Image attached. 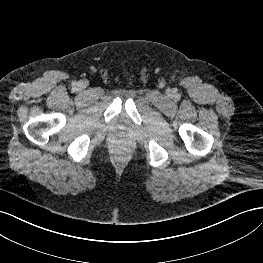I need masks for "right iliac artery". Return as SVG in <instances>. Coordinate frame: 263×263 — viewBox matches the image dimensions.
I'll return each instance as SVG.
<instances>
[{
  "label": "right iliac artery",
  "mask_w": 263,
  "mask_h": 263,
  "mask_svg": "<svg viewBox=\"0 0 263 263\" xmlns=\"http://www.w3.org/2000/svg\"><path fill=\"white\" fill-rule=\"evenodd\" d=\"M76 85V83H73V86H75Z\"/></svg>",
  "instance_id": "right-iliac-artery-1"
}]
</instances>
